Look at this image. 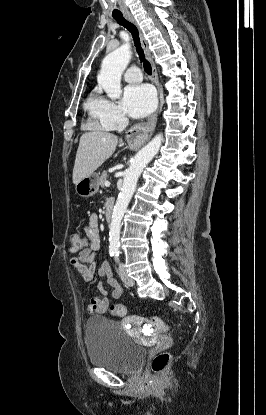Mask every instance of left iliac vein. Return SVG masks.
<instances>
[{
  "label": "left iliac vein",
  "instance_id": "1",
  "mask_svg": "<svg viewBox=\"0 0 266 415\" xmlns=\"http://www.w3.org/2000/svg\"><path fill=\"white\" fill-rule=\"evenodd\" d=\"M119 276L122 282L127 286H133L135 284L134 280L129 277L126 273L125 267L122 264H119Z\"/></svg>",
  "mask_w": 266,
  "mask_h": 415
}]
</instances>
